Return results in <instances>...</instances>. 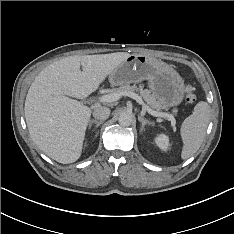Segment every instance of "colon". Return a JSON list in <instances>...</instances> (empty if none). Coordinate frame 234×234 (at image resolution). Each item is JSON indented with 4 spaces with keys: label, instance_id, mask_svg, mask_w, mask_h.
<instances>
[{
    "label": "colon",
    "instance_id": "1",
    "mask_svg": "<svg viewBox=\"0 0 234 234\" xmlns=\"http://www.w3.org/2000/svg\"><path fill=\"white\" fill-rule=\"evenodd\" d=\"M196 99L195 93H194V88L192 86H188L186 88V96H185V101L189 104L193 103Z\"/></svg>",
    "mask_w": 234,
    "mask_h": 234
}]
</instances>
